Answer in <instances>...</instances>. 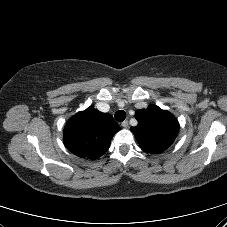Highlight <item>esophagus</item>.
Here are the masks:
<instances>
[{
    "mask_svg": "<svg viewBox=\"0 0 227 227\" xmlns=\"http://www.w3.org/2000/svg\"><path fill=\"white\" fill-rule=\"evenodd\" d=\"M121 126L124 127V128H127L128 127V121L125 120L121 123Z\"/></svg>",
    "mask_w": 227,
    "mask_h": 227,
    "instance_id": "esophagus-1",
    "label": "esophagus"
}]
</instances>
